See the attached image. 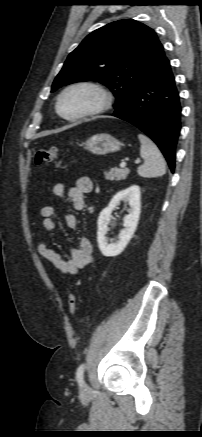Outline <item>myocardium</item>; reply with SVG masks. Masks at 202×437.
<instances>
[{"label": "myocardium", "instance_id": "f54148a6", "mask_svg": "<svg viewBox=\"0 0 202 437\" xmlns=\"http://www.w3.org/2000/svg\"><path fill=\"white\" fill-rule=\"evenodd\" d=\"M78 88H87L92 90L98 96V102L95 106L75 116H66L61 111L60 108L61 101L68 92ZM111 104H112V95L103 86L93 81H79L70 84L65 89H63V91L57 97L55 108H56V112L60 117L70 122H76L87 118L95 117L104 113L111 106Z\"/></svg>", "mask_w": 202, "mask_h": 437}]
</instances>
